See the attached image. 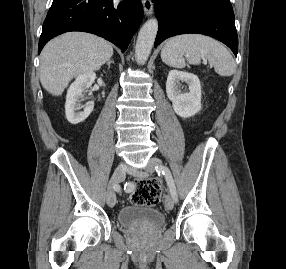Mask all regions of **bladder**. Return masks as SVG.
Here are the masks:
<instances>
[{
  "label": "bladder",
  "instance_id": "bladder-1",
  "mask_svg": "<svg viewBox=\"0 0 286 269\" xmlns=\"http://www.w3.org/2000/svg\"><path fill=\"white\" fill-rule=\"evenodd\" d=\"M118 223L128 228L156 229L164 226L165 216L155 208L130 204L120 208L117 214Z\"/></svg>",
  "mask_w": 286,
  "mask_h": 269
}]
</instances>
